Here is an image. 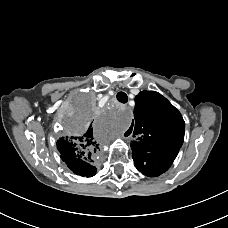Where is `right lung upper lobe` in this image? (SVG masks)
<instances>
[{
  "instance_id": "1",
  "label": "right lung upper lobe",
  "mask_w": 228,
  "mask_h": 228,
  "mask_svg": "<svg viewBox=\"0 0 228 228\" xmlns=\"http://www.w3.org/2000/svg\"><path fill=\"white\" fill-rule=\"evenodd\" d=\"M57 148L62 160L76 174L87 177L95 175L96 168L92 163L100 149L91 126L83 135L61 138L57 142Z\"/></svg>"
}]
</instances>
